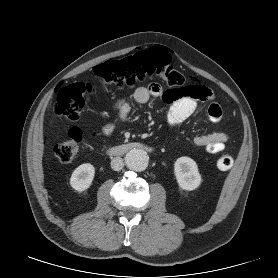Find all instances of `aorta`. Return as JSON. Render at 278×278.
Returning a JSON list of instances; mask_svg holds the SVG:
<instances>
[{
  "label": "aorta",
  "mask_w": 278,
  "mask_h": 278,
  "mask_svg": "<svg viewBox=\"0 0 278 278\" xmlns=\"http://www.w3.org/2000/svg\"><path fill=\"white\" fill-rule=\"evenodd\" d=\"M125 161L130 170L141 172L148 167L149 157L142 149H132L126 154Z\"/></svg>",
  "instance_id": "1"
}]
</instances>
